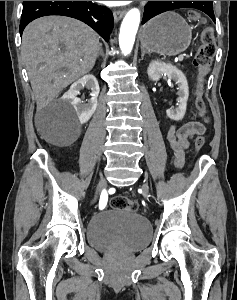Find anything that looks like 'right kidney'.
I'll use <instances>...</instances> for the list:
<instances>
[{
	"label": "right kidney",
	"instance_id": "1",
	"mask_svg": "<svg viewBox=\"0 0 237 300\" xmlns=\"http://www.w3.org/2000/svg\"><path fill=\"white\" fill-rule=\"evenodd\" d=\"M89 89L91 91V99L87 101V103H83L77 95H80L81 89ZM99 85L96 77H93V75H85V77H82V79H79V81H76V83H73L71 85L69 91L63 95V99H68L70 101L73 109H75V113L81 123H87L89 119H91L93 113H95L97 109V97L99 95Z\"/></svg>",
	"mask_w": 237,
	"mask_h": 300
}]
</instances>
